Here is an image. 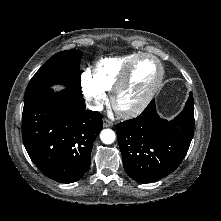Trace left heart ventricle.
<instances>
[{
	"label": "left heart ventricle",
	"mask_w": 221,
	"mask_h": 221,
	"mask_svg": "<svg viewBox=\"0 0 221 221\" xmlns=\"http://www.w3.org/2000/svg\"><path fill=\"white\" fill-rule=\"evenodd\" d=\"M158 75L159 67L153 59H141L133 70L128 86L119 96V104L122 107L136 105L152 88Z\"/></svg>",
	"instance_id": "1"
}]
</instances>
